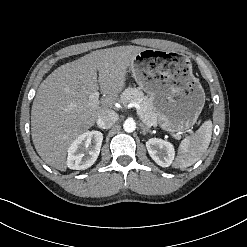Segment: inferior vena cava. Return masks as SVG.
I'll list each match as a JSON object with an SVG mask.
<instances>
[{"label": "inferior vena cava", "instance_id": "1", "mask_svg": "<svg viewBox=\"0 0 247 247\" xmlns=\"http://www.w3.org/2000/svg\"><path fill=\"white\" fill-rule=\"evenodd\" d=\"M117 120L118 114L113 110H109L100 114L96 122L100 128L107 129L111 128Z\"/></svg>", "mask_w": 247, "mask_h": 247}]
</instances>
